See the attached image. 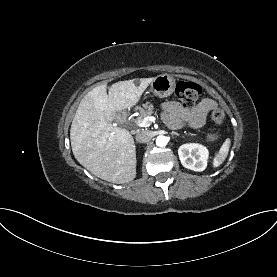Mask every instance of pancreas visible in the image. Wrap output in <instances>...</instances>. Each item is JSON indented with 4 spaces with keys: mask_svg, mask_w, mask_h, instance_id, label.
Masks as SVG:
<instances>
[{
    "mask_svg": "<svg viewBox=\"0 0 277 277\" xmlns=\"http://www.w3.org/2000/svg\"><path fill=\"white\" fill-rule=\"evenodd\" d=\"M142 107H137L136 110L139 111V116L136 118V122L143 120L145 117L151 116L154 113V106L150 103H146Z\"/></svg>",
    "mask_w": 277,
    "mask_h": 277,
    "instance_id": "pancreas-1",
    "label": "pancreas"
}]
</instances>
